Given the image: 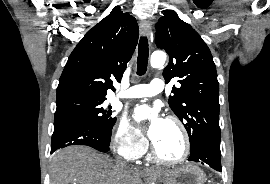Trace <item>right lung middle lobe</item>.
Listing matches in <instances>:
<instances>
[{"label":"right lung middle lobe","mask_w":270,"mask_h":184,"mask_svg":"<svg viewBox=\"0 0 270 184\" xmlns=\"http://www.w3.org/2000/svg\"><path fill=\"white\" fill-rule=\"evenodd\" d=\"M104 98L83 95H68L57 98L55 119L77 117L83 119L102 132L111 135L116 117L103 106ZM110 108V107H109Z\"/></svg>","instance_id":"obj_1"}]
</instances>
